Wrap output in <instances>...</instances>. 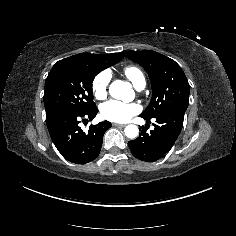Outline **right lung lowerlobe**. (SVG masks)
<instances>
[{
    "instance_id": "right-lung-lower-lobe-1",
    "label": "right lung lower lobe",
    "mask_w": 236,
    "mask_h": 236,
    "mask_svg": "<svg viewBox=\"0 0 236 236\" xmlns=\"http://www.w3.org/2000/svg\"><path fill=\"white\" fill-rule=\"evenodd\" d=\"M98 109L95 107L84 113L57 112L46 116L51 139L60 154L68 161L85 164L93 161L100 152L104 133L112 126L104 121L90 125L88 132L79 126L80 119L92 120Z\"/></svg>"
}]
</instances>
